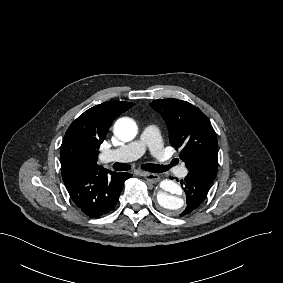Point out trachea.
<instances>
[{"mask_svg":"<svg viewBox=\"0 0 283 283\" xmlns=\"http://www.w3.org/2000/svg\"><path fill=\"white\" fill-rule=\"evenodd\" d=\"M172 166H174V163L171 162L169 165H159V164H144L142 166V169L149 171V172H165L167 170H169ZM113 169L117 170V171H126L130 169V165L128 164H124V163H115L113 164Z\"/></svg>","mask_w":283,"mask_h":283,"instance_id":"obj_1","label":"trachea"}]
</instances>
